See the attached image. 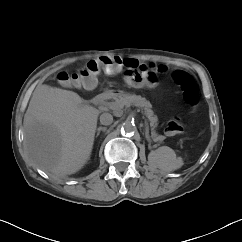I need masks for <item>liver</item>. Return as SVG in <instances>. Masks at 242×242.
Masks as SVG:
<instances>
[{
	"label": "liver",
	"mask_w": 242,
	"mask_h": 242,
	"mask_svg": "<svg viewBox=\"0 0 242 242\" xmlns=\"http://www.w3.org/2000/svg\"><path fill=\"white\" fill-rule=\"evenodd\" d=\"M98 115L73 91L37 86L23 122L33 164L58 178L79 171L90 158Z\"/></svg>",
	"instance_id": "liver-1"
}]
</instances>
